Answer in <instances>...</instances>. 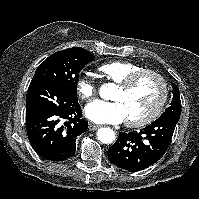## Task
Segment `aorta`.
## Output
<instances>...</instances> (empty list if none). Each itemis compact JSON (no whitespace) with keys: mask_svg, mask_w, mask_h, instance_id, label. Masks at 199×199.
<instances>
[{"mask_svg":"<svg viewBox=\"0 0 199 199\" xmlns=\"http://www.w3.org/2000/svg\"><path fill=\"white\" fill-rule=\"evenodd\" d=\"M112 84H104L100 88V96L107 98L108 92L111 89ZM97 138L104 144H110L115 140V133L110 128H100L97 131Z\"/></svg>","mask_w":199,"mask_h":199,"instance_id":"obj_1","label":"aorta"}]
</instances>
